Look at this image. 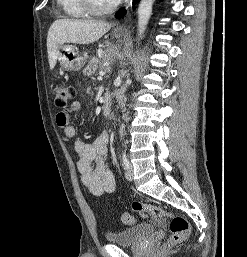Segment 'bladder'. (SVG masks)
<instances>
[{"label": "bladder", "instance_id": "31cf9c89", "mask_svg": "<svg viewBox=\"0 0 247 257\" xmlns=\"http://www.w3.org/2000/svg\"><path fill=\"white\" fill-rule=\"evenodd\" d=\"M154 230L155 228L153 225L141 223L125 230L108 232L106 234V240L120 246H133L139 244L153 234Z\"/></svg>", "mask_w": 247, "mask_h": 257}]
</instances>
